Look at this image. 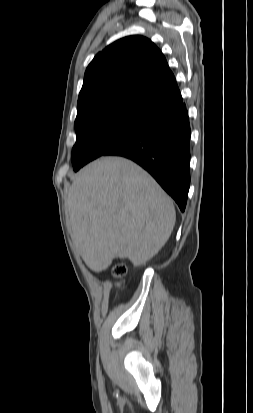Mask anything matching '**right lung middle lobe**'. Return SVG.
Masks as SVG:
<instances>
[{
    "label": "right lung middle lobe",
    "mask_w": 253,
    "mask_h": 413,
    "mask_svg": "<svg viewBox=\"0 0 253 413\" xmlns=\"http://www.w3.org/2000/svg\"><path fill=\"white\" fill-rule=\"evenodd\" d=\"M152 116L134 108L112 107L76 118V143L72 150L74 171L142 130Z\"/></svg>",
    "instance_id": "dd1d6c3e"
}]
</instances>
